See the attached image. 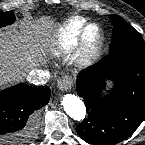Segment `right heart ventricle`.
Masks as SVG:
<instances>
[{"label":"right heart ventricle","mask_w":145,"mask_h":145,"mask_svg":"<svg viewBox=\"0 0 145 145\" xmlns=\"http://www.w3.org/2000/svg\"><path fill=\"white\" fill-rule=\"evenodd\" d=\"M86 21L76 17L60 26L52 35L49 50L55 57H60L71 52L78 43L80 31Z\"/></svg>","instance_id":"right-heart-ventricle-1"}]
</instances>
